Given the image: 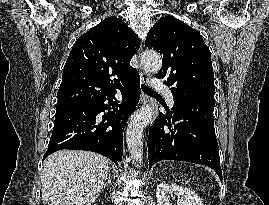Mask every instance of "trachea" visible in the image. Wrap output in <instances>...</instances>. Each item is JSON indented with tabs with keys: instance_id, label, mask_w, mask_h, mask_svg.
<instances>
[{
	"instance_id": "1",
	"label": "trachea",
	"mask_w": 269,
	"mask_h": 205,
	"mask_svg": "<svg viewBox=\"0 0 269 205\" xmlns=\"http://www.w3.org/2000/svg\"><path fill=\"white\" fill-rule=\"evenodd\" d=\"M142 90L146 93V94H158L157 92H155L154 90L148 88L147 86L142 84Z\"/></svg>"
}]
</instances>
